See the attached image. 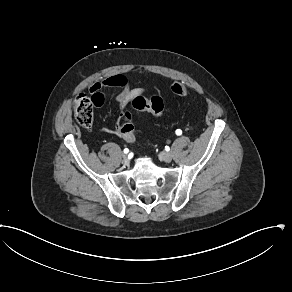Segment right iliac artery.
Instances as JSON below:
<instances>
[{
	"label": "right iliac artery",
	"mask_w": 292,
	"mask_h": 292,
	"mask_svg": "<svg viewBox=\"0 0 292 292\" xmlns=\"http://www.w3.org/2000/svg\"><path fill=\"white\" fill-rule=\"evenodd\" d=\"M128 152H129L128 148H125V149H124V153L126 154V153H128Z\"/></svg>",
	"instance_id": "1"
}]
</instances>
